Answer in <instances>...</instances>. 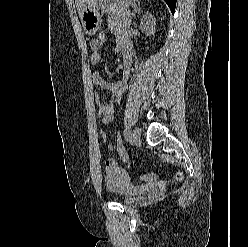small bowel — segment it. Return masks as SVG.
<instances>
[{
    "label": "small bowel",
    "instance_id": "obj_1",
    "mask_svg": "<svg viewBox=\"0 0 248 247\" xmlns=\"http://www.w3.org/2000/svg\"><path fill=\"white\" fill-rule=\"evenodd\" d=\"M104 41L105 37L102 34L91 41L90 48L92 52L90 55V63L92 65H96L101 61L103 56L102 49ZM118 50L124 55L122 79L117 82H109L105 80L102 74L98 71H95L92 76L93 83L96 87L101 90H108L112 94V99L109 102H107L106 97H104L100 93H97L95 97V103L98 109V116L104 124L112 121L115 113V104L120 101L123 93L125 92L127 87V80L130 74L132 53L130 45L124 35H120L118 38ZM102 138L108 150L113 151L114 147L112 143L107 139V136L104 132H102ZM105 163L108 169H112L115 168L119 162L113 157H108Z\"/></svg>",
    "mask_w": 248,
    "mask_h": 247
}]
</instances>
